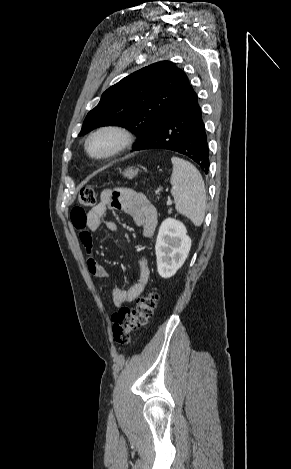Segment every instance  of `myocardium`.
<instances>
[{
    "instance_id": "1",
    "label": "myocardium",
    "mask_w": 291,
    "mask_h": 469,
    "mask_svg": "<svg viewBox=\"0 0 291 469\" xmlns=\"http://www.w3.org/2000/svg\"><path fill=\"white\" fill-rule=\"evenodd\" d=\"M109 133L115 136L116 143L114 147L107 153L103 155H95L91 153L89 149L90 141L99 134ZM133 142V136L131 132L125 128L124 126L118 124H106L97 127L93 131H91L85 139L84 142V150L87 156L91 159L103 161L111 159L123 151H125Z\"/></svg>"
}]
</instances>
